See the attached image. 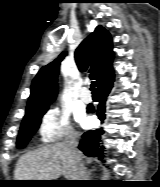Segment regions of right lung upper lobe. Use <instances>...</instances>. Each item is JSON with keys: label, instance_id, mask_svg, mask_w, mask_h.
Segmentation results:
<instances>
[{"label": "right lung upper lobe", "instance_id": "obj_1", "mask_svg": "<svg viewBox=\"0 0 160 187\" xmlns=\"http://www.w3.org/2000/svg\"><path fill=\"white\" fill-rule=\"evenodd\" d=\"M112 49V39L109 32L99 25L75 51L78 69L81 72H89L90 78L96 80L97 86L114 74ZM66 55L67 52H63L53 62L39 70L32 81L26 113L48 109L55 100L59 66Z\"/></svg>", "mask_w": 160, "mask_h": 187}]
</instances>
